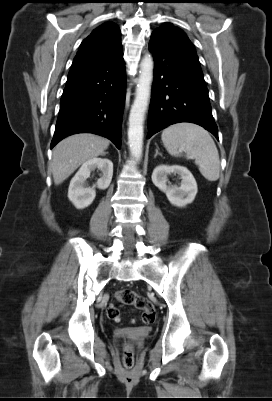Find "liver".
<instances>
[{"label": "liver", "instance_id": "6515ba94", "mask_svg": "<svg viewBox=\"0 0 272 401\" xmlns=\"http://www.w3.org/2000/svg\"><path fill=\"white\" fill-rule=\"evenodd\" d=\"M109 141L91 133L71 135L60 141L53 149L52 174L54 183L61 184L80 165L104 154Z\"/></svg>", "mask_w": 272, "mask_h": 401}]
</instances>
